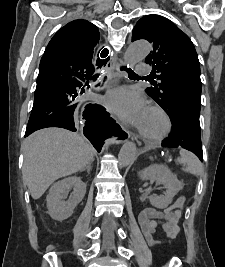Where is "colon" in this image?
Wrapping results in <instances>:
<instances>
[{
    "mask_svg": "<svg viewBox=\"0 0 225 267\" xmlns=\"http://www.w3.org/2000/svg\"><path fill=\"white\" fill-rule=\"evenodd\" d=\"M185 202H186V199L185 197L179 202V206H180V210L183 209V207L185 206Z\"/></svg>",
    "mask_w": 225,
    "mask_h": 267,
    "instance_id": "1",
    "label": "colon"
}]
</instances>
